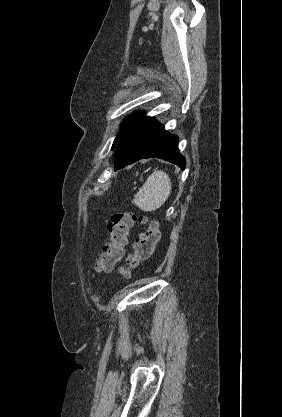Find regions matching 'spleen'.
<instances>
[{"instance_id": "1", "label": "spleen", "mask_w": 282, "mask_h": 417, "mask_svg": "<svg viewBox=\"0 0 282 417\" xmlns=\"http://www.w3.org/2000/svg\"><path fill=\"white\" fill-rule=\"evenodd\" d=\"M172 182L164 170H155L138 192L134 194V202L141 211H157L167 200Z\"/></svg>"}]
</instances>
